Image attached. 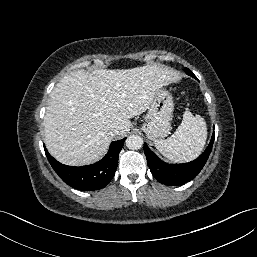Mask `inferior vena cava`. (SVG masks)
I'll use <instances>...</instances> for the list:
<instances>
[{
    "label": "inferior vena cava",
    "instance_id": "602c4592",
    "mask_svg": "<svg viewBox=\"0 0 257 257\" xmlns=\"http://www.w3.org/2000/svg\"><path fill=\"white\" fill-rule=\"evenodd\" d=\"M119 133V130L117 129V128H112V129H110V131H109V134L111 135V136H115V135H117Z\"/></svg>",
    "mask_w": 257,
    "mask_h": 257
}]
</instances>
